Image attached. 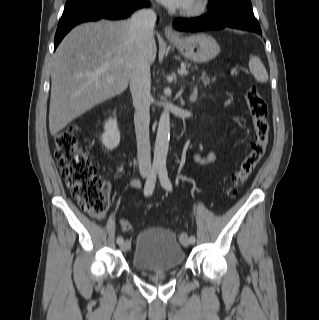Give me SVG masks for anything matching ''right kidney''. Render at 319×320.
Here are the masks:
<instances>
[{
    "instance_id": "1",
    "label": "right kidney",
    "mask_w": 319,
    "mask_h": 320,
    "mask_svg": "<svg viewBox=\"0 0 319 320\" xmlns=\"http://www.w3.org/2000/svg\"><path fill=\"white\" fill-rule=\"evenodd\" d=\"M102 143L107 149H114L120 143V132L116 119H109L105 122Z\"/></svg>"
}]
</instances>
